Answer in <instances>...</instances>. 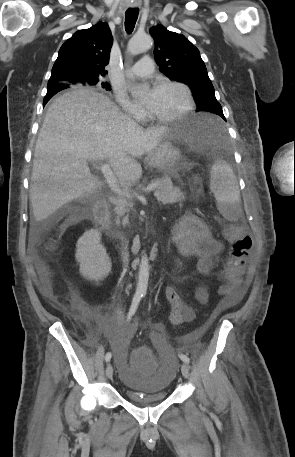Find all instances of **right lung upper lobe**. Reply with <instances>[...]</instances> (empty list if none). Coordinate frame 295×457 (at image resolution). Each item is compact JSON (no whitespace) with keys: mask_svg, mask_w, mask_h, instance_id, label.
I'll use <instances>...</instances> for the list:
<instances>
[{"mask_svg":"<svg viewBox=\"0 0 295 457\" xmlns=\"http://www.w3.org/2000/svg\"><path fill=\"white\" fill-rule=\"evenodd\" d=\"M113 37L107 23L99 22L89 29L75 32L60 48L48 86L87 84L92 78L108 72Z\"/></svg>","mask_w":295,"mask_h":457,"instance_id":"cb5924a9","label":"right lung upper lobe"}]
</instances>
